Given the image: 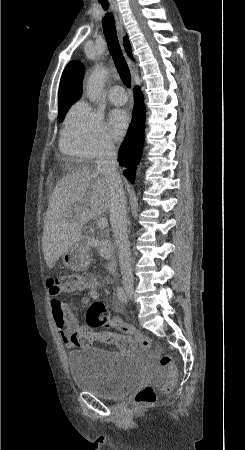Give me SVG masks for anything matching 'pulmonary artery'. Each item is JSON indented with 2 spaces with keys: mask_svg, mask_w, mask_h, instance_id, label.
<instances>
[{
  "mask_svg": "<svg viewBox=\"0 0 245 450\" xmlns=\"http://www.w3.org/2000/svg\"><path fill=\"white\" fill-rule=\"evenodd\" d=\"M109 99L116 105H123L127 101L124 89L120 85H114L110 88Z\"/></svg>",
  "mask_w": 245,
  "mask_h": 450,
  "instance_id": "obj_1",
  "label": "pulmonary artery"
}]
</instances>
